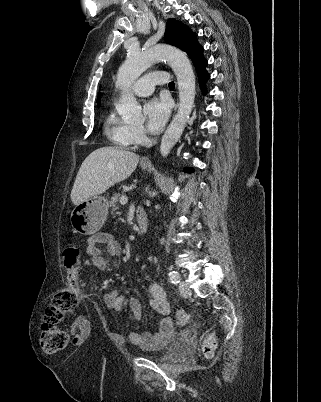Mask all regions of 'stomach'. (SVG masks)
Masks as SVG:
<instances>
[{
	"instance_id": "stomach-1",
	"label": "stomach",
	"mask_w": 321,
	"mask_h": 402,
	"mask_svg": "<svg viewBox=\"0 0 321 402\" xmlns=\"http://www.w3.org/2000/svg\"><path fill=\"white\" fill-rule=\"evenodd\" d=\"M146 169L147 166H141ZM108 200L103 196H92L77 204L73 209L70 222L74 232L92 235L104 225L108 214Z\"/></svg>"
}]
</instances>
